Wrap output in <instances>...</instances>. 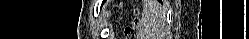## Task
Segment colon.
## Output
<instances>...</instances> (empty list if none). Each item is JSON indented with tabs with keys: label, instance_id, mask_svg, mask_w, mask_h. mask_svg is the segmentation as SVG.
<instances>
[{
	"label": "colon",
	"instance_id": "5ec220e1",
	"mask_svg": "<svg viewBox=\"0 0 249 39\" xmlns=\"http://www.w3.org/2000/svg\"><path fill=\"white\" fill-rule=\"evenodd\" d=\"M125 36L129 39H136L138 37L137 25L133 24L125 28Z\"/></svg>",
	"mask_w": 249,
	"mask_h": 39
}]
</instances>
